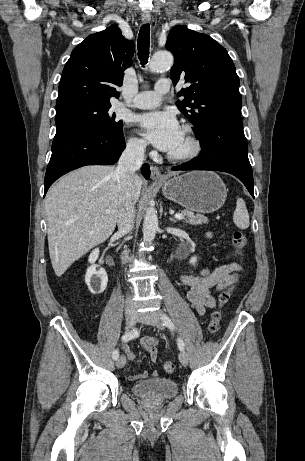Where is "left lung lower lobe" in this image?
Returning a JSON list of instances; mask_svg holds the SVG:
<instances>
[{
  "label": "left lung lower lobe",
  "mask_w": 305,
  "mask_h": 461,
  "mask_svg": "<svg viewBox=\"0 0 305 461\" xmlns=\"http://www.w3.org/2000/svg\"><path fill=\"white\" fill-rule=\"evenodd\" d=\"M195 135L201 144L199 156L173 170L227 172L240 179L254 197L252 167L241 116L229 115L211 120L202 132Z\"/></svg>",
  "instance_id": "1"
}]
</instances>
